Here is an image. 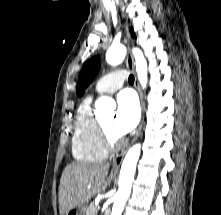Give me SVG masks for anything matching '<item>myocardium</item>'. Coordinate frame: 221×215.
Here are the masks:
<instances>
[{
  "instance_id": "myocardium-1",
  "label": "myocardium",
  "mask_w": 221,
  "mask_h": 215,
  "mask_svg": "<svg viewBox=\"0 0 221 215\" xmlns=\"http://www.w3.org/2000/svg\"><path fill=\"white\" fill-rule=\"evenodd\" d=\"M98 128L101 141L106 150L114 149L119 144L118 137L112 131L106 128L100 121L98 122Z\"/></svg>"
}]
</instances>
